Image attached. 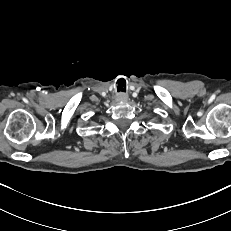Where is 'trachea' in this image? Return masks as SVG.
<instances>
[{"instance_id": "1", "label": "trachea", "mask_w": 231, "mask_h": 231, "mask_svg": "<svg viewBox=\"0 0 231 231\" xmlns=\"http://www.w3.org/2000/svg\"><path fill=\"white\" fill-rule=\"evenodd\" d=\"M123 86H124V84H123ZM123 86H119V87L123 88ZM118 91H120V90H118ZM121 91L126 92V85H125V87Z\"/></svg>"}]
</instances>
